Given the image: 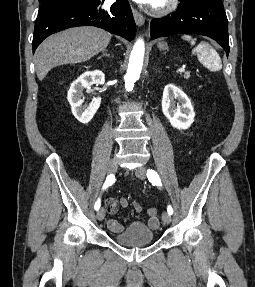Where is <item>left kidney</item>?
<instances>
[{
  "label": "left kidney",
  "mask_w": 255,
  "mask_h": 287,
  "mask_svg": "<svg viewBox=\"0 0 255 287\" xmlns=\"http://www.w3.org/2000/svg\"><path fill=\"white\" fill-rule=\"evenodd\" d=\"M162 112L171 126L178 130L190 128L195 118V112L188 96L174 84H167L163 90Z\"/></svg>",
  "instance_id": "1"
}]
</instances>
